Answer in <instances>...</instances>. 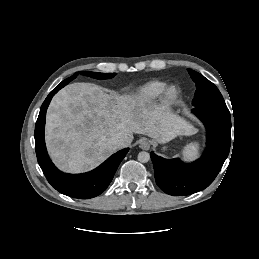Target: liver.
I'll list each match as a JSON object with an SVG mask.
<instances>
[{"mask_svg":"<svg viewBox=\"0 0 259 259\" xmlns=\"http://www.w3.org/2000/svg\"><path fill=\"white\" fill-rule=\"evenodd\" d=\"M134 133L167 143L193 129L166 105L146 106L139 98L108 94L90 83L67 85L47 111V149L55 165L66 172L94 169L118 149L110 142L112 136L122 135L127 146Z\"/></svg>","mask_w":259,"mask_h":259,"instance_id":"1","label":"liver"}]
</instances>
